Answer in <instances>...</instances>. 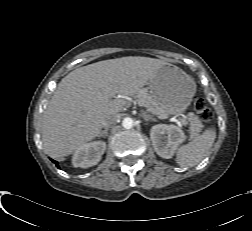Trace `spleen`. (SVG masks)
Segmentation results:
<instances>
[{
  "instance_id": "spleen-1",
  "label": "spleen",
  "mask_w": 252,
  "mask_h": 231,
  "mask_svg": "<svg viewBox=\"0 0 252 231\" xmlns=\"http://www.w3.org/2000/svg\"><path fill=\"white\" fill-rule=\"evenodd\" d=\"M216 138L214 128L205 130L201 135L180 146L176 152V162L182 167H193L208 154Z\"/></svg>"
}]
</instances>
